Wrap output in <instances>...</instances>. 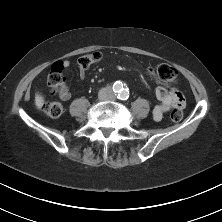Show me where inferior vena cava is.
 Returning a JSON list of instances; mask_svg holds the SVG:
<instances>
[{
    "mask_svg": "<svg viewBox=\"0 0 222 222\" xmlns=\"http://www.w3.org/2000/svg\"><path fill=\"white\" fill-rule=\"evenodd\" d=\"M108 91L109 90L107 88L101 89L100 92H99V97L101 99H106V95H107Z\"/></svg>",
    "mask_w": 222,
    "mask_h": 222,
    "instance_id": "obj_1",
    "label": "inferior vena cava"
}]
</instances>
